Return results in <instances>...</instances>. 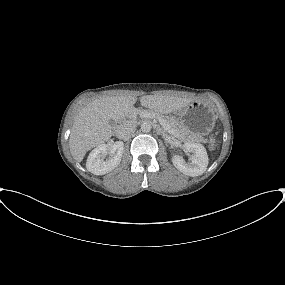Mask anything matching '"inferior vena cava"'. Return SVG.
<instances>
[{"instance_id":"1","label":"inferior vena cava","mask_w":285,"mask_h":285,"mask_svg":"<svg viewBox=\"0 0 285 285\" xmlns=\"http://www.w3.org/2000/svg\"><path fill=\"white\" fill-rule=\"evenodd\" d=\"M135 129L136 126L132 123L123 124L116 130V136L119 139H124L134 133Z\"/></svg>"}]
</instances>
